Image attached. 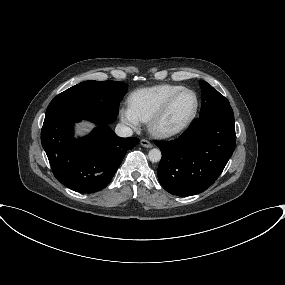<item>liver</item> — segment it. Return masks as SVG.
I'll return each mask as SVG.
<instances>
[{
  "label": "liver",
  "mask_w": 285,
  "mask_h": 285,
  "mask_svg": "<svg viewBox=\"0 0 285 285\" xmlns=\"http://www.w3.org/2000/svg\"><path fill=\"white\" fill-rule=\"evenodd\" d=\"M90 128H92V125L85 123L80 126V131L88 130Z\"/></svg>",
  "instance_id": "1"
}]
</instances>
